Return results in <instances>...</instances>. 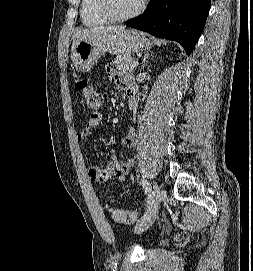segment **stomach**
<instances>
[{
	"mask_svg": "<svg viewBox=\"0 0 253 271\" xmlns=\"http://www.w3.org/2000/svg\"><path fill=\"white\" fill-rule=\"evenodd\" d=\"M150 41L137 30H118L97 33L76 41L72 48L71 60L76 70L88 72L106 52L130 54L149 49Z\"/></svg>",
	"mask_w": 253,
	"mask_h": 271,
	"instance_id": "stomach-1",
	"label": "stomach"
}]
</instances>
